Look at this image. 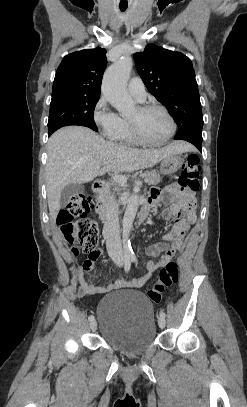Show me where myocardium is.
<instances>
[{"instance_id":"f54148a6","label":"myocardium","mask_w":247,"mask_h":407,"mask_svg":"<svg viewBox=\"0 0 247 407\" xmlns=\"http://www.w3.org/2000/svg\"><path fill=\"white\" fill-rule=\"evenodd\" d=\"M138 109L143 112L149 111V110H154V109L162 111L170 122L171 130H170L168 136L165 139H163L162 141L150 142V141H147L146 139H144V137L141 135L137 124L134 121L128 120L130 131L132 133L133 138L136 140V142L141 145L149 146V147H159V146H163V145L167 144L172 139V137L175 135L176 130H177L176 121H175L173 115L170 113V111L165 106L160 105V104H155V103L142 104V105L138 106Z\"/></svg>"}]
</instances>
